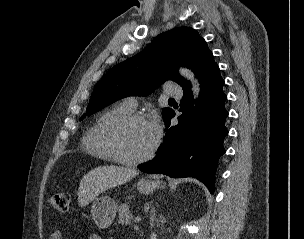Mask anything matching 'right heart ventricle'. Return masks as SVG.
Wrapping results in <instances>:
<instances>
[{
	"label": "right heart ventricle",
	"instance_id": "e07e8e85",
	"mask_svg": "<svg viewBox=\"0 0 304 239\" xmlns=\"http://www.w3.org/2000/svg\"><path fill=\"white\" fill-rule=\"evenodd\" d=\"M130 112H132V108L125 103L116 104L101 112L87 129L82 139L84 151L102 160L114 161L113 155L104 141V130L112 120Z\"/></svg>",
	"mask_w": 304,
	"mask_h": 239
}]
</instances>
